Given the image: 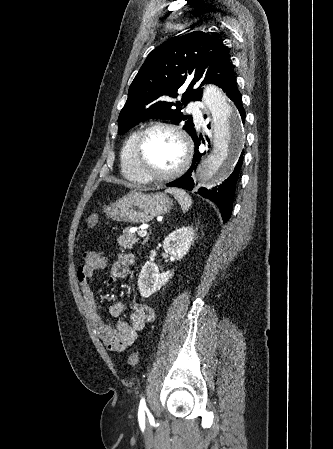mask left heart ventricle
Here are the masks:
<instances>
[{"mask_svg": "<svg viewBox=\"0 0 333 449\" xmlns=\"http://www.w3.org/2000/svg\"><path fill=\"white\" fill-rule=\"evenodd\" d=\"M183 158L179 139L164 130H154L145 139L141 164L151 174L161 175L174 170Z\"/></svg>", "mask_w": 333, "mask_h": 449, "instance_id": "obj_1", "label": "left heart ventricle"}]
</instances>
